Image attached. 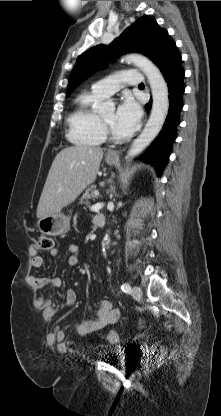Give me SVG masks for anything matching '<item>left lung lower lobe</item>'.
<instances>
[{
	"instance_id": "1",
	"label": "left lung lower lobe",
	"mask_w": 221,
	"mask_h": 416,
	"mask_svg": "<svg viewBox=\"0 0 221 416\" xmlns=\"http://www.w3.org/2000/svg\"><path fill=\"white\" fill-rule=\"evenodd\" d=\"M163 74L169 92V110L163 129L143 159L155 166L157 174L161 176L168 163L172 144L176 139V128L180 124L179 116L183 107L184 70L181 67V56L177 52L175 43L170 40L168 32L164 33L154 49L151 57ZM151 101L146 104L148 111Z\"/></svg>"
}]
</instances>
